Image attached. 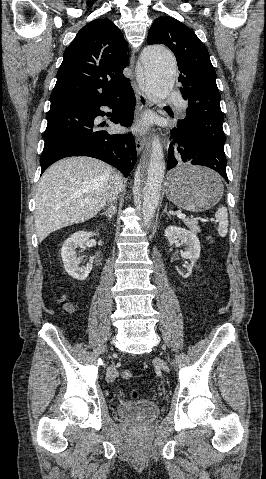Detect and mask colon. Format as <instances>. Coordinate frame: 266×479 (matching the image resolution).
Wrapping results in <instances>:
<instances>
[{"mask_svg": "<svg viewBox=\"0 0 266 479\" xmlns=\"http://www.w3.org/2000/svg\"><path fill=\"white\" fill-rule=\"evenodd\" d=\"M120 376H121V378H122L123 380H125V381H130V380L132 379V377H133V374H132V372H131L130 370H123V371L121 372ZM132 397L136 399V398L138 397V393H137L136 391H134V392L132 393Z\"/></svg>", "mask_w": 266, "mask_h": 479, "instance_id": "1", "label": "colon"}]
</instances>
